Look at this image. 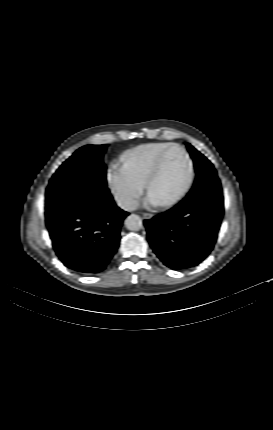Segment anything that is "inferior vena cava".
Segmentation results:
<instances>
[{"instance_id":"1","label":"inferior vena cava","mask_w":273,"mask_h":430,"mask_svg":"<svg viewBox=\"0 0 273 430\" xmlns=\"http://www.w3.org/2000/svg\"><path fill=\"white\" fill-rule=\"evenodd\" d=\"M118 206L125 210H134L137 206V202L133 200H118Z\"/></svg>"}]
</instances>
